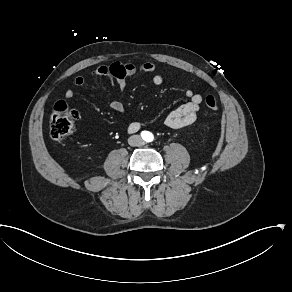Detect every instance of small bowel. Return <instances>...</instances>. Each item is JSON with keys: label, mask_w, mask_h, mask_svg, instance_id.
<instances>
[{"label": "small bowel", "mask_w": 292, "mask_h": 292, "mask_svg": "<svg viewBox=\"0 0 292 292\" xmlns=\"http://www.w3.org/2000/svg\"><path fill=\"white\" fill-rule=\"evenodd\" d=\"M155 71L156 67L151 62H145L140 65H135L128 62H114L110 65L98 66L91 72V75L103 79H108L112 85L115 81L120 87L121 91H124L127 88V79L129 77H132L139 72L151 74ZM153 83L155 85H161L163 83L162 76L155 74L153 76ZM85 84L86 78L82 75H79L74 79V85L77 87H82ZM74 94L75 92L73 89H67L65 91L66 98H72ZM185 95L189 101L166 116L164 124L168 128L180 129L190 126L196 121L202 102V97L191 88L185 90ZM109 106L114 112L122 113L124 111L123 103L116 98L110 99ZM137 127V123L130 124L131 129H137Z\"/></svg>", "instance_id": "c3829d8e"}]
</instances>
